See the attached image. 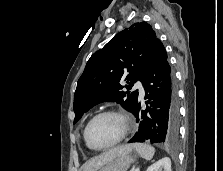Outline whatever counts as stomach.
Returning a JSON list of instances; mask_svg holds the SVG:
<instances>
[{
	"label": "stomach",
	"mask_w": 223,
	"mask_h": 171,
	"mask_svg": "<svg viewBox=\"0 0 223 171\" xmlns=\"http://www.w3.org/2000/svg\"><path fill=\"white\" fill-rule=\"evenodd\" d=\"M133 161L134 158L129 154L120 155L102 166L99 171H127Z\"/></svg>",
	"instance_id": "1"
}]
</instances>
